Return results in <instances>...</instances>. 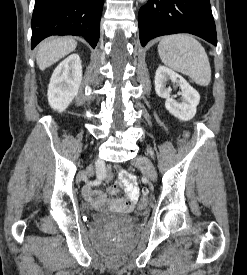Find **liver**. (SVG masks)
Returning a JSON list of instances; mask_svg holds the SVG:
<instances>
[{"label": "liver", "instance_id": "obj_1", "mask_svg": "<svg viewBox=\"0 0 247 275\" xmlns=\"http://www.w3.org/2000/svg\"><path fill=\"white\" fill-rule=\"evenodd\" d=\"M77 42L71 37L52 38L39 45L36 61L45 70L76 49Z\"/></svg>", "mask_w": 247, "mask_h": 275}]
</instances>
